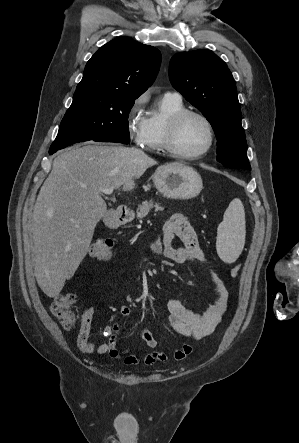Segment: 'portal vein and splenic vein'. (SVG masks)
I'll list each match as a JSON object with an SVG mask.
<instances>
[{
	"label": "portal vein and splenic vein",
	"mask_w": 299,
	"mask_h": 443,
	"mask_svg": "<svg viewBox=\"0 0 299 443\" xmlns=\"http://www.w3.org/2000/svg\"><path fill=\"white\" fill-rule=\"evenodd\" d=\"M114 189H100L101 193H104L106 195H112Z\"/></svg>",
	"instance_id": "18ae733b"
}]
</instances>
